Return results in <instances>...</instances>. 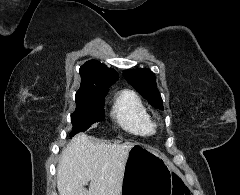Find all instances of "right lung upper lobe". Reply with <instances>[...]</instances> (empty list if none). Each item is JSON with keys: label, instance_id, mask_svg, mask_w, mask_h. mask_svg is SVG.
Wrapping results in <instances>:
<instances>
[{"label": "right lung upper lobe", "instance_id": "cb5924a9", "mask_svg": "<svg viewBox=\"0 0 240 195\" xmlns=\"http://www.w3.org/2000/svg\"><path fill=\"white\" fill-rule=\"evenodd\" d=\"M81 85L76 93L75 100L101 99L107 94L108 88L118 79V73L97 60L84 63L79 70Z\"/></svg>", "mask_w": 240, "mask_h": 195}]
</instances>
